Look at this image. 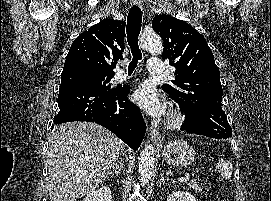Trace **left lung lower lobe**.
Here are the masks:
<instances>
[{
	"label": "left lung lower lobe",
	"mask_w": 271,
	"mask_h": 201,
	"mask_svg": "<svg viewBox=\"0 0 271 201\" xmlns=\"http://www.w3.org/2000/svg\"><path fill=\"white\" fill-rule=\"evenodd\" d=\"M181 130H184L188 133H194V134H199V135H202L201 134V131L199 129H196V128H193V127H187V126H182L181 127Z\"/></svg>",
	"instance_id": "1"
}]
</instances>
